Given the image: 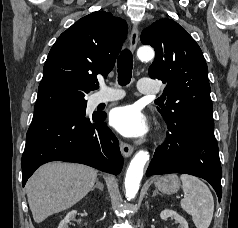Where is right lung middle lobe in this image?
<instances>
[{
  "label": "right lung middle lobe",
  "instance_id": "obj_1",
  "mask_svg": "<svg viewBox=\"0 0 238 228\" xmlns=\"http://www.w3.org/2000/svg\"><path fill=\"white\" fill-rule=\"evenodd\" d=\"M86 106H87V101L67 105V106L63 107L62 109H60L56 112H61V111H66V110H73V111H76L78 113H81V114L85 115Z\"/></svg>",
  "mask_w": 238,
  "mask_h": 228
}]
</instances>
